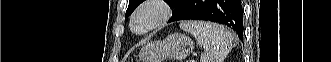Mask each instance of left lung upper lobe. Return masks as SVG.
I'll use <instances>...</instances> for the list:
<instances>
[{"instance_id": "1", "label": "left lung upper lobe", "mask_w": 331, "mask_h": 62, "mask_svg": "<svg viewBox=\"0 0 331 62\" xmlns=\"http://www.w3.org/2000/svg\"><path fill=\"white\" fill-rule=\"evenodd\" d=\"M143 1L144 0H129V6L126 11V16L131 15V13L135 10V8ZM185 2L186 0H167V3L175 10L173 16L183 7Z\"/></svg>"}]
</instances>
